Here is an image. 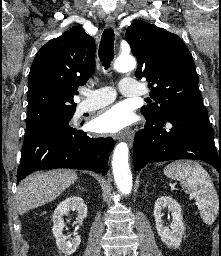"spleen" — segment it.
<instances>
[{
    "label": "spleen",
    "instance_id": "1",
    "mask_svg": "<svg viewBox=\"0 0 221 256\" xmlns=\"http://www.w3.org/2000/svg\"><path fill=\"white\" fill-rule=\"evenodd\" d=\"M164 174L180 181L185 193L195 198L203 222L211 225L219 211V199L208 172L192 161L178 160L168 164Z\"/></svg>",
    "mask_w": 221,
    "mask_h": 256
}]
</instances>
